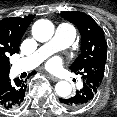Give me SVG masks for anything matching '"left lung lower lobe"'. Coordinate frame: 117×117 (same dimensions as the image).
Segmentation results:
<instances>
[{"mask_svg": "<svg viewBox=\"0 0 117 117\" xmlns=\"http://www.w3.org/2000/svg\"><path fill=\"white\" fill-rule=\"evenodd\" d=\"M83 85V88L76 91L75 95L64 99L59 98V101L68 108H80L90 104L97 93L86 83H83Z\"/></svg>", "mask_w": 117, "mask_h": 117, "instance_id": "obj_1", "label": "left lung lower lobe"}]
</instances>
